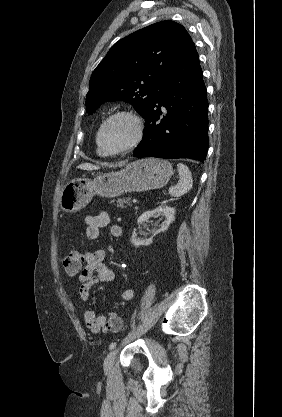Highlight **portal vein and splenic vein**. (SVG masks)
<instances>
[{
	"instance_id": "1",
	"label": "portal vein and splenic vein",
	"mask_w": 282,
	"mask_h": 417,
	"mask_svg": "<svg viewBox=\"0 0 282 417\" xmlns=\"http://www.w3.org/2000/svg\"><path fill=\"white\" fill-rule=\"evenodd\" d=\"M132 202H133V203H137V202H138V199H137V198H133V199H132Z\"/></svg>"
}]
</instances>
